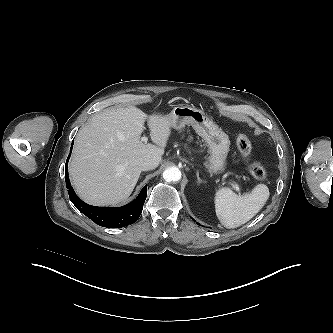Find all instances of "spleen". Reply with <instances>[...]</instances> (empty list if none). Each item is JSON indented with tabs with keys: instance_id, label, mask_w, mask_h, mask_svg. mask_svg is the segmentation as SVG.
I'll return each mask as SVG.
<instances>
[{
	"instance_id": "1",
	"label": "spleen",
	"mask_w": 333,
	"mask_h": 333,
	"mask_svg": "<svg viewBox=\"0 0 333 333\" xmlns=\"http://www.w3.org/2000/svg\"><path fill=\"white\" fill-rule=\"evenodd\" d=\"M269 198V189L258 184L251 193L241 196L230 188H220L215 194V212L217 218L226 228H236L253 218Z\"/></svg>"
}]
</instances>
